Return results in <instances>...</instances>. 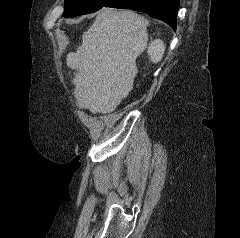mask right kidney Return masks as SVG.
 <instances>
[{
	"label": "right kidney",
	"mask_w": 240,
	"mask_h": 238,
	"mask_svg": "<svg viewBox=\"0 0 240 238\" xmlns=\"http://www.w3.org/2000/svg\"><path fill=\"white\" fill-rule=\"evenodd\" d=\"M165 51V46L162 40L156 39L152 41L148 47V56L153 63L161 61Z\"/></svg>",
	"instance_id": "right-kidney-1"
}]
</instances>
